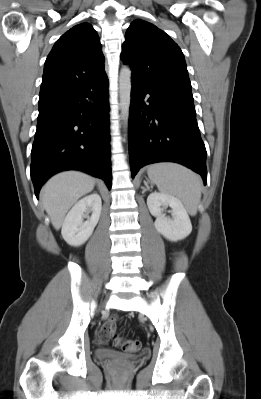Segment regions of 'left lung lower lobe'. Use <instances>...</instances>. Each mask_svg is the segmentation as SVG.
<instances>
[{
  "instance_id": "obj_1",
  "label": "left lung lower lobe",
  "mask_w": 261,
  "mask_h": 399,
  "mask_svg": "<svg viewBox=\"0 0 261 399\" xmlns=\"http://www.w3.org/2000/svg\"><path fill=\"white\" fill-rule=\"evenodd\" d=\"M129 157L132 178L145 165L170 161L199 173L207 183L206 149L192 93L132 77Z\"/></svg>"
}]
</instances>
